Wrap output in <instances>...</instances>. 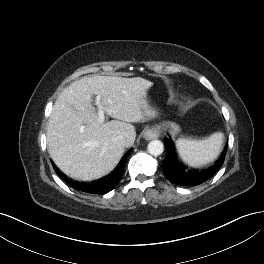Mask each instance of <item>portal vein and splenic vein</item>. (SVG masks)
<instances>
[{"mask_svg": "<svg viewBox=\"0 0 264 264\" xmlns=\"http://www.w3.org/2000/svg\"><path fill=\"white\" fill-rule=\"evenodd\" d=\"M100 100H101V97L97 96L96 100H95V104L98 107V120L100 122H103L104 118H105V116H104L105 110H104V107L101 105Z\"/></svg>", "mask_w": 264, "mask_h": 264, "instance_id": "18ae733b", "label": "portal vein and splenic vein"}]
</instances>
